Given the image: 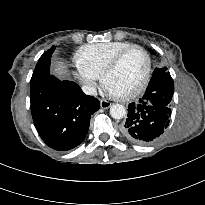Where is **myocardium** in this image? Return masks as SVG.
Returning <instances> with one entry per match:
<instances>
[{"instance_id":"obj_1","label":"myocardium","mask_w":205,"mask_h":205,"mask_svg":"<svg viewBox=\"0 0 205 205\" xmlns=\"http://www.w3.org/2000/svg\"><path fill=\"white\" fill-rule=\"evenodd\" d=\"M133 50H138L140 51L145 59H146V70H145V74L141 80V82L139 83V85L132 90L131 92L124 94V95H115L113 94L114 97H116L119 100H129V99H133L135 97H137L139 94H141L143 92V90L146 88V86L148 85L150 78H151V74H152V59L150 54L148 53V51L143 48L142 46L139 45H131L130 47L122 50L121 52H119L110 62L109 64L105 67L102 75H101V82L102 85L105 89H107L106 87V80L107 77L118 67V65L120 64V62L122 61V59L131 51Z\"/></svg>"}]
</instances>
